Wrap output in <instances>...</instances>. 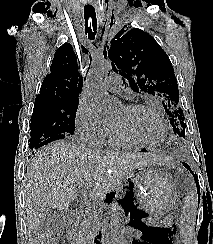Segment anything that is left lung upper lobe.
<instances>
[{"label":"left lung upper lobe","mask_w":213,"mask_h":244,"mask_svg":"<svg viewBox=\"0 0 213 244\" xmlns=\"http://www.w3.org/2000/svg\"><path fill=\"white\" fill-rule=\"evenodd\" d=\"M107 49L104 57L108 54L114 62V71L128 81L133 91L159 99L174 134L185 139L186 124L178 105V84L172 63L162 47L143 30L123 28Z\"/></svg>","instance_id":"obj_1"}]
</instances>
